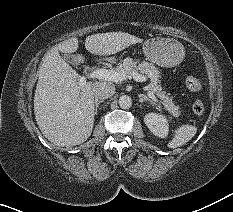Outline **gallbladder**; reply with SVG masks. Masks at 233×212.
Segmentation results:
<instances>
[{
  "label": "gallbladder",
  "mask_w": 233,
  "mask_h": 212,
  "mask_svg": "<svg viewBox=\"0 0 233 212\" xmlns=\"http://www.w3.org/2000/svg\"><path fill=\"white\" fill-rule=\"evenodd\" d=\"M64 59L66 62L72 64V65H77L78 63L75 60V56L72 54H65Z\"/></svg>",
  "instance_id": "gallbladder-1"
}]
</instances>
